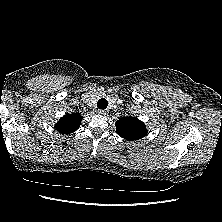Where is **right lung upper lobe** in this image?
Here are the masks:
<instances>
[{"instance_id":"right-lung-upper-lobe-1","label":"right lung upper lobe","mask_w":222,"mask_h":222,"mask_svg":"<svg viewBox=\"0 0 222 222\" xmlns=\"http://www.w3.org/2000/svg\"><path fill=\"white\" fill-rule=\"evenodd\" d=\"M82 121V116L78 113L64 115L58 123L55 124V129L63 134L75 132Z\"/></svg>"}]
</instances>
